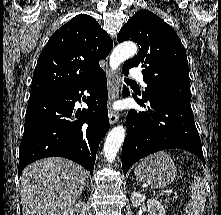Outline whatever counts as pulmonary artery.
I'll return each mask as SVG.
<instances>
[{
    "label": "pulmonary artery",
    "mask_w": 221,
    "mask_h": 215,
    "mask_svg": "<svg viewBox=\"0 0 221 215\" xmlns=\"http://www.w3.org/2000/svg\"><path fill=\"white\" fill-rule=\"evenodd\" d=\"M130 75L134 79H138V80L142 81V72L140 71V69L135 68V67L132 68L131 71H130ZM143 86H145L144 83H143Z\"/></svg>",
    "instance_id": "obj_1"
}]
</instances>
